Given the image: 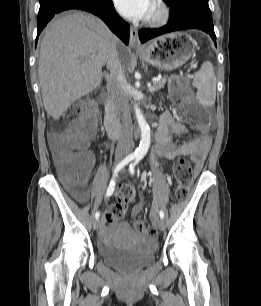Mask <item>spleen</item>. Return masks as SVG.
<instances>
[{"mask_svg":"<svg viewBox=\"0 0 261 306\" xmlns=\"http://www.w3.org/2000/svg\"><path fill=\"white\" fill-rule=\"evenodd\" d=\"M193 87L197 89L196 97L203 106H211L216 98V77L211 62H203L193 78Z\"/></svg>","mask_w":261,"mask_h":306,"instance_id":"obj_1","label":"spleen"}]
</instances>
